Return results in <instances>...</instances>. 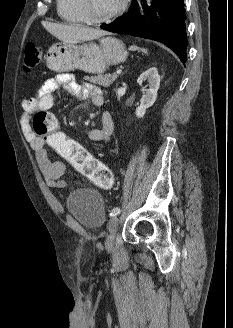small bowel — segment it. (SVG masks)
<instances>
[{
	"label": "small bowel",
	"instance_id": "obj_1",
	"mask_svg": "<svg viewBox=\"0 0 233 328\" xmlns=\"http://www.w3.org/2000/svg\"><path fill=\"white\" fill-rule=\"evenodd\" d=\"M61 88L78 100L90 99L96 106H101L104 102L103 93L99 87L91 83L79 84L70 74H60L48 79L42 85L37 95L23 101L20 118L21 129L36 153V159L46 184L52 188H63L67 185L61 179L66 173V165L62 161L55 160L47 148V143L32 134L30 123L32 116L36 112L48 111L52 108ZM113 130L114 123L112 117L109 112L104 111L101 116L100 127L90 129L87 135L92 141L107 143L112 138Z\"/></svg>",
	"mask_w": 233,
	"mask_h": 328
}]
</instances>
